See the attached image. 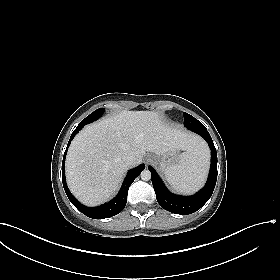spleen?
I'll return each instance as SVG.
<instances>
[{
  "instance_id": "1",
  "label": "spleen",
  "mask_w": 280,
  "mask_h": 280,
  "mask_svg": "<svg viewBox=\"0 0 280 280\" xmlns=\"http://www.w3.org/2000/svg\"><path fill=\"white\" fill-rule=\"evenodd\" d=\"M209 168V151L201 148L193 154L183 153L178 163L165 171L168 183L178 192L192 193L203 186Z\"/></svg>"
}]
</instances>
